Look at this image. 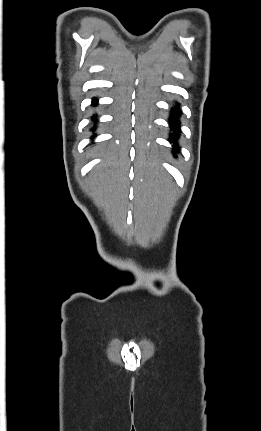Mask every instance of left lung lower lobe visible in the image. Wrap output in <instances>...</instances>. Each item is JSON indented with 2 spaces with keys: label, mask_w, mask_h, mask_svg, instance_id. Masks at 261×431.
Listing matches in <instances>:
<instances>
[{
  "label": "left lung lower lobe",
  "mask_w": 261,
  "mask_h": 431,
  "mask_svg": "<svg viewBox=\"0 0 261 431\" xmlns=\"http://www.w3.org/2000/svg\"><path fill=\"white\" fill-rule=\"evenodd\" d=\"M179 115H180V113L178 111H176V109L172 108V110H171V124H172L173 134L171 135V139L173 140L172 142L174 143L176 149H177V147H176L177 146V144H176L177 138L179 137V134H180L179 130L177 129L178 125H179V123L177 121ZM176 149H174V151H176Z\"/></svg>",
  "instance_id": "obj_1"
}]
</instances>
